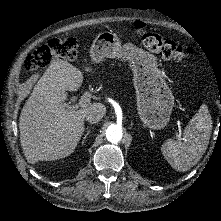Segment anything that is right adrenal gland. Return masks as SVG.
Segmentation results:
<instances>
[{
  "label": "right adrenal gland",
  "instance_id": "1",
  "mask_svg": "<svg viewBox=\"0 0 221 221\" xmlns=\"http://www.w3.org/2000/svg\"><path fill=\"white\" fill-rule=\"evenodd\" d=\"M88 129V128H87ZM90 131L87 130V133L85 134V136L83 137V140H82V144H84V140L87 138V136L89 135Z\"/></svg>",
  "mask_w": 221,
  "mask_h": 221
}]
</instances>
